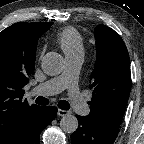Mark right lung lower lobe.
<instances>
[{"label": "right lung lower lobe", "instance_id": "obj_1", "mask_svg": "<svg viewBox=\"0 0 144 144\" xmlns=\"http://www.w3.org/2000/svg\"><path fill=\"white\" fill-rule=\"evenodd\" d=\"M56 115V107L39 106L28 115L22 128L7 144H39L40 133Z\"/></svg>", "mask_w": 144, "mask_h": 144}]
</instances>
